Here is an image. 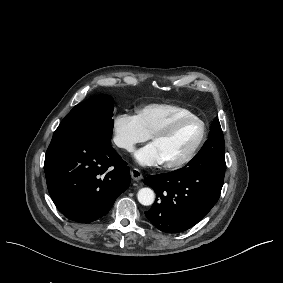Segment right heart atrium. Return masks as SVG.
Returning <instances> with one entry per match:
<instances>
[{
  "mask_svg": "<svg viewBox=\"0 0 283 283\" xmlns=\"http://www.w3.org/2000/svg\"><path fill=\"white\" fill-rule=\"evenodd\" d=\"M150 138L139 115L129 112L115 113L111 120V140L119 149L132 151L137 143Z\"/></svg>",
  "mask_w": 283,
  "mask_h": 283,
  "instance_id": "right-heart-atrium-1",
  "label": "right heart atrium"
}]
</instances>
